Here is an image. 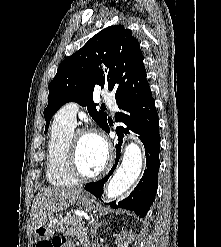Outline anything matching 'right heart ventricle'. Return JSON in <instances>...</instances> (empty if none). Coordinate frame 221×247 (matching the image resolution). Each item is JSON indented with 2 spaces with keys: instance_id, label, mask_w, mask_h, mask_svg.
Instances as JSON below:
<instances>
[{
  "instance_id": "obj_1",
  "label": "right heart ventricle",
  "mask_w": 221,
  "mask_h": 247,
  "mask_svg": "<svg viewBox=\"0 0 221 247\" xmlns=\"http://www.w3.org/2000/svg\"><path fill=\"white\" fill-rule=\"evenodd\" d=\"M74 127L55 118L47 145L46 176L50 184L57 187H68L78 183L70 172L68 151Z\"/></svg>"
}]
</instances>
